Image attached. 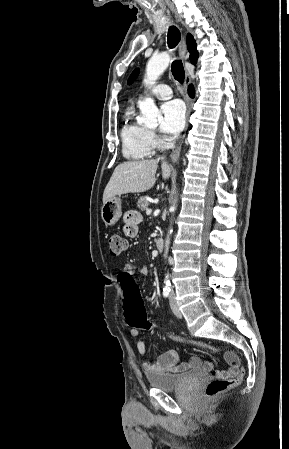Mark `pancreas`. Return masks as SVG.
<instances>
[{
    "label": "pancreas",
    "mask_w": 289,
    "mask_h": 449,
    "mask_svg": "<svg viewBox=\"0 0 289 449\" xmlns=\"http://www.w3.org/2000/svg\"><path fill=\"white\" fill-rule=\"evenodd\" d=\"M148 206H149V202H148L147 196H142L138 199L137 207L140 210L146 211L148 209Z\"/></svg>",
    "instance_id": "obj_1"
}]
</instances>
